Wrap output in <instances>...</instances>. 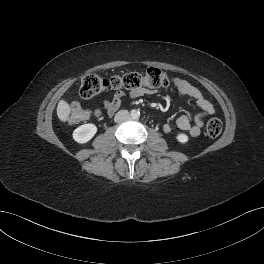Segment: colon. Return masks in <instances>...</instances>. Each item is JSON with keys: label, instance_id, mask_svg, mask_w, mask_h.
<instances>
[{"label": "colon", "instance_id": "obj_1", "mask_svg": "<svg viewBox=\"0 0 264 264\" xmlns=\"http://www.w3.org/2000/svg\"><path fill=\"white\" fill-rule=\"evenodd\" d=\"M169 78L167 74L158 68H149L145 73L129 72L124 75L102 77L95 74L86 75L81 82L80 95L83 98H92L106 89L141 90L146 88L157 89L167 87ZM99 115L98 111H95ZM90 112L84 110L79 103H72L69 121L77 123L86 119ZM222 121L212 118L207 122L206 133L211 138L218 137L222 132Z\"/></svg>", "mask_w": 264, "mask_h": 264}]
</instances>
